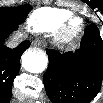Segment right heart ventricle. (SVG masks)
Here are the masks:
<instances>
[{"instance_id": "e07e8e85", "label": "right heart ventricle", "mask_w": 103, "mask_h": 103, "mask_svg": "<svg viewBox=\"0 0 103 103\" xmlns=\"http://www.w3.org/2000/svg\"><path fill=\"white\" fill-rule=\"evenodd\" d=\"M71 16V11L64 8L42 7L34 11L29 19V27L37 33L57 30Z\"/></svg>"}]
</instances>
